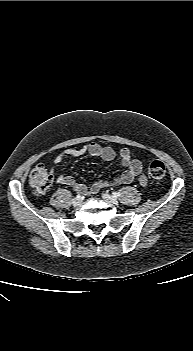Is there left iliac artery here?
Masks as SVG:
<instances>
[{"label":"left iliac artery","instance_id":"44dca946","mask_svg":"<svg viewBox=\"0 0 193 351\" xmlns=\"http://www.w3.org/2000/svg\"><path fill=\"white\" fill-rule=\"evenodd\" d=\"M112 195L114 198H118L121 194L120 192H113Z\"/></svg>","mask_w":193,"mask_h":351}]
</instances>
